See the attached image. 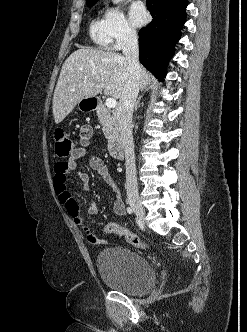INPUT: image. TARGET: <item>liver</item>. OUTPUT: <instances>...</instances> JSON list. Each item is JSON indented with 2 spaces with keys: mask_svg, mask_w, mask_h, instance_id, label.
Here are the masks:
<instances>
[{
  "mask_svg": "<svg viewBox=\"0 0 247 332\" xmlns=\"http://www.w3.org/2000/svg\"><path fill=\"white\" fill-rule=\"evenodd\" d=\"M152 80L149 72L141 68V89ZM127 81V60L121 54L90 47L74 51L65 60L55 87L52 105L55 123L62 122L81 100L102 91L121 98Z\"/></svg>",
  "mask_w": 247,
  "mask_h": 332,
  "instance_id": "obj_1",
  "label": "liver"
}]
</instances>
